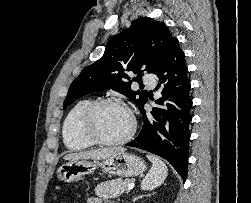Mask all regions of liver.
<instances>
[{
	"mask_svg": "<svg viewBox=\"0 0 251 203\" xmlns=\"http://www.w3.org/2000/svg\"><path fill=\"white\" fill-rule=\"evenodd\" d=\"M124 150L123 148H102L95 150H88L78 153H70L64 156L65 160L76 161L79 159H91V160H104L115 152Z\"/></svg>",
	"mask_w": 251,
	"mask_h": 203,
	"instance_id": "obj_1",
	"label": "liver"
}]
</instances>
